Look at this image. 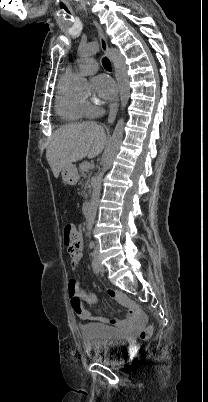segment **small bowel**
Returning a JSON list of instances; mask_svg holds the SVG:
<instances>
[{"label":"small bowel","instance_id":"1","mask_svg":"<svg viewBox=\"0 0 208 402\" xmlns=\"http://www.w3.org/2000/svg\"><path fill=\"white\" fill-rule=\"evenodd\" d=\"M79 225V224H78ZM75 232V242L70 243V247L67 248V253L70 254V266L74 268L81 257V251L83 249V243L81 240L82 232L81 227L77 226ZM67 295L71 299L73 296H79L82 300H84L88 304H93L96 302V298L94 295L83 292L79 289L78 282L75 279H70L67 283ZM107 297L110 301H120L123 305H125L129 311L133 309V304L126 299L127 295L124 292H116L115 289H108L106 292ZM134 318H129V321L124 322L123 327L126 330H136L139 327V324H145L147 318L143 315L141 309H134L132 312ZM83 318V322L85 324H93L94 321L97 324H102L104 322V317L102 315L93 316L89 311L85 310V312L79 315ZM110 323L112 325H117L119 323L118 319H111Z\"/></svg>","mask_w":208,"mask_h":402}]
</instances>
